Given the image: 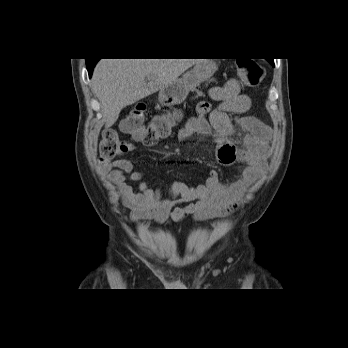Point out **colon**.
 Masks as SVG:
<instances>
[{"instance_id": "1", "label": "colon", "mask_w": 348, "mask_h": 348, "mask_svg": "<svg viewBox=\"0 0 348 348\" xmlns=\"http://www.w3.org/2000/svg\"><path fill=\"white\" fill-rule=\"evenodd\" d=\"M237 70L240 80L249 87H257L264 78V67L250 59L237 61ZM146 108L137 105L132 108L122 119L120 128L133 139L145 144H154L166 137L172 128L179 122L180 115L177 112L158 115L149 123H145ZM125 143L114 130L106 131L99 144V155L102 162L113 160L128 151Z\"/></svg>"}]
</instances>
